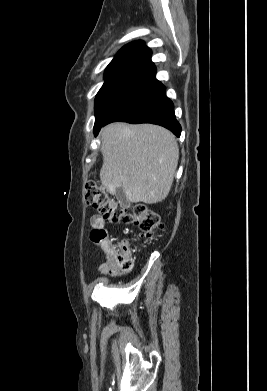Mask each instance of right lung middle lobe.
<instances>
[{
  "label": "right lung middle lobe",
  "mask_w": 267,
  "mask_h": 391,
  "mask_svg": "<svg viewBox=\"0 0 267 391\" xmlns=\"http://www.w3.org/2000/svg\"><path fill=\"white\" fill-rule=\"evenodd\" d=\"M95 99L94 132L131 96L148 85L153 78L135 75L105 77Z\"/></svg>",
  "instance_id": "dd1d6c3e"
}]
</instances>
